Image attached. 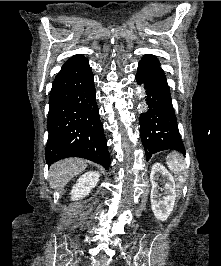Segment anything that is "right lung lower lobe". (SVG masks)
Listing matches in <instances>:
<instances>
[{"mask_svg": "<svg viewBox=\"0 0 221 266\" xmlns=\"http://www.w3.org/2000/svg\"><path fill=\"white\" fill-rule=\"evenodd\" d=\"M47 130L48 165L68 157H82L106 169L110 166L94 78L87 59L61 70L55 77L49 98Z\"/></svg>", "mask_w": 221, "mask_h": 266, "instance_id": "98d812e1", "label": "right lung lower lobe"}]
</instances>
